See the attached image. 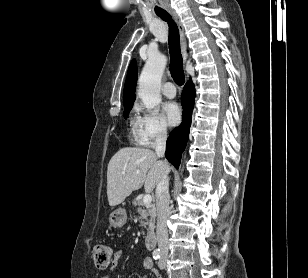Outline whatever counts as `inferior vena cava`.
<instances>
[{
  "mask_svg": "<svg viewBox=\"0 0 308 278\" xmlns=\"http://www.w3.org/2000/svg\"><path fill=\"white\" fill-rule=\"evenodd\" d=\"M167 130L160 129L155 139V151L158 157L163 158L166 149ZM168 170L164 172L156 186V208H157V242L161 253L168 254V230L167 219L170 214L169 208V177Z\"/></svg>",
  "mask_w": 308,
  "mask_h": 278,
  "instance_id": "obj_1",
  "label": "inferior vena cava"
}]
</instances>
